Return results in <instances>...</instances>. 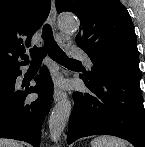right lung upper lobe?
Listing matches in <instances>:
<instances>
[{
  "instance_id": "right-lung-upper-lobe-1",
  "label": "right lung upper lobe",
  "mask_w": 145,
  "mask_h": 147,
  "mask_svg": "<svg viewBox=\"0 0 145 147\" xmlns=\"http://www.w3.org/2000/svg\"><path fill=\"white\" fill-rule=\"evenodd\" d=\"M50 8V0H0V73L28 63L23 45L30 46Z\"/></svg>"
}]
</instances>
